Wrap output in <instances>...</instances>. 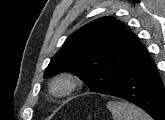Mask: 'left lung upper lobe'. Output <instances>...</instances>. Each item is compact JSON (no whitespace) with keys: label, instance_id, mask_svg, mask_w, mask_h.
I'll return each instance as SVG.
<instances>
[{"label":"left lung upper lobe","instance_id":"left-lung-upper-lobe-1","mask_svg":"<svg viewBox=\"0 0 165 120\" xmlns=\"http://www.w3.org/2000/svg\"><path fill=\"white\" fill-rule=\"evenodd\" d=\"M139 44L123 22L112 16L96 19L65 40L44 78L69 71L83 80L90 92L109 94L121 84Z\"/></svg>","mask_w":165,"mask_h":120}]
</instances>
